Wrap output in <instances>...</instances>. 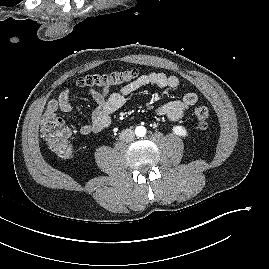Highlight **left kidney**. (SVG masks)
<instances>
[{
	"mask_svg": "<svg viewBox=\"0 0 269 269\" xmlns=\"http://www.w3.org/2000/svg\"><path fill=\"white\" fill-rule=\"evenodd\" d=\"M173 132L178 135V136H182V137H186L188 136V132L185 129V127L180 126V125H176L173 127Z\"/></svg>",
	"mask_w": 269,
	"mask_h": 269,
	"instance_id": "1",
	"label": "left kidney"
}]
</instances>
